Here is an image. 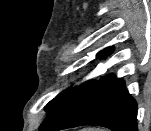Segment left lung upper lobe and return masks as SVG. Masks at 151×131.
<instances>
[{
    "mask_svg": "<svg viewBox=\"0 0 151 131\" xmlns=\"http://www.w3.org/2000/svg\"><path fill=\"white\" fill-rule=\"evenodd\" d=\"M114 51V47H107L105 49H103L102 51H100L97 54V57L102 58V57H106L107 55H110L112 52ZM71 88V87H70ZM64 90L63 92H61L60 94H58L54 99H52L44 108L45 112H47L48 114L50 112H52L54 109H56L64 100L67 92L69 91V89Z\"/></svg>",
    "mask_w": 151,
    "mask_h": 131,
    "instance_id": "left-lung-upper-lobe-1",
    "label": "left lung upper lobe"
}]
</instances>
